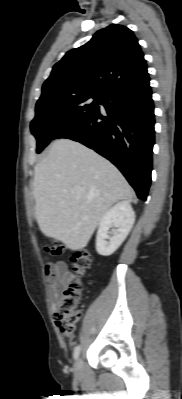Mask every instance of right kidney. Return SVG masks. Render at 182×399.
I'll use <instances>...</instances> for the list:
<instances>
[{
    "label": "right kidney",
    "mask_w": 182,
    "mask_h": 399,
    "mask_svg": "<svg viewBox=\"0 0 182 399\" xmlns=\"http://www.w3.org/2000/svg\"><path fill=\"white\" fill-rule=\"evenodd\" d=\"M135 221V213L128 201H121L101 218L96 236V250L110 256L124 242ZM115 229L109 232L110 228Z\"/></svg>",
    "instance_id": "1"
}]
</instances>
